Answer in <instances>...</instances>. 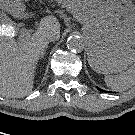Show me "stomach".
I'll return each instance as SVG.
<instances>
[{
    "label": "stomach",
    "instance_id": "stomach-1",
    "mask_svg": "<svg viewBox=\"0 0 135 135\" xmlns=\"http://www.w3.org/2000/svg\"><path fill=\"white\" fill-rule=\"evenodd\" d=\"M23 9L26 0H3ZM83 24L88 62L102 74L117 73L135 62V7L131 0H54Z\"/></svg>",
    "mask_w": 135,
    "mask_h": 135
}]
</instances>
